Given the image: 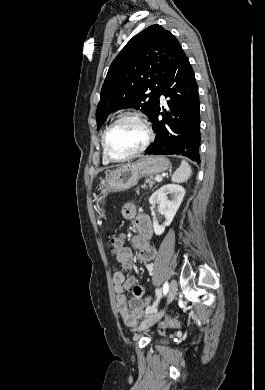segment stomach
I'll use <instances>...</instances> for the list:
<instances>
[{"mask_svg": "<svg viewBox=\"0 0 265 390\" xmlns=\"http://www.w3.org/2000/svg\"><path fill=\"white\" fill-rule=\"evenodd\" d=\"M170 167V161L164 156H146L135 163L126 164L110 172L100 187L101 196L97 199V212L101 218H105L100 204L104 202L108 193L125 191L135 186L143 176L160 174Z\"/></svg>", "mask_w": 265, "mask_h": 390, "instance_id": "obj_1", "label": "stomach"}]
</instances>
